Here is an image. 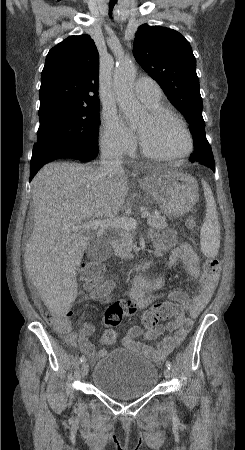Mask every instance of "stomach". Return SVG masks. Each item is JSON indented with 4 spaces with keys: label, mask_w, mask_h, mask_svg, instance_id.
Wrapping results in <instances>:
<instances>
[{
    "label": "stomach",
    "mask_w": 245,
    "mask_h": 450,
    "mask_svg": "<svg viewBox=\"0 0 245 450\" xmlns=\"http://www.w3.org/2000/svg\"><path fill=\"white\" fill-rule=\"evenodd\" d=\"M140 185L156 201L167 217H180L189 212L199 198L198 184L189 174L160 168L144 178Z\"/></svg>",
    "instance_id": "1"
}]
</instances>
